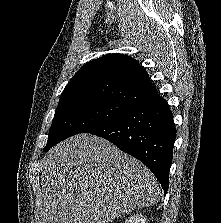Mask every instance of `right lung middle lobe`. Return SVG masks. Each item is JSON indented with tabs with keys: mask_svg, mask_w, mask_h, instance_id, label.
<instances>
[{
	"mask_svg": "<svg viewBox=\"0 0 221 223\" xmlns=\"http://www.w3.org/2000/svg\"><path fill=\"white\" fill-rule=\"evenodd\" d=\"M134 107L129 103L96 97L59 102L44 151L72 135L110 122Z\"/></svg>",
	"mask_w": 221,
	"mask_h": 223,
	"instance_id": "right-lung-middle-lobe-1",
	"label": "right lung middle lobe"
}]
</instances>
